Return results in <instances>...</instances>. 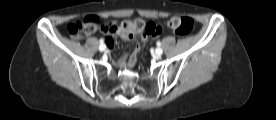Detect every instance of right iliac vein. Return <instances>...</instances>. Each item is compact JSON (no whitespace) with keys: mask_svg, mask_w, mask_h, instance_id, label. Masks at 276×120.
Here are the masks:
<instances>
[{"mask_svg":"<svg viewBox=\"0 0 276 120\" xmlns=\"http://www.w3.org/2000/svg\"><path fill=\"white\" fill-rule=\"evenodd\" d=\"M105 48H106V46H105L104 44L99 46V50H100V51H104Z\"/></svg>","mask_w":276,"mask_h":120,"instance_id":"obj_1","label":"right iliac vein"}]
</instances>
